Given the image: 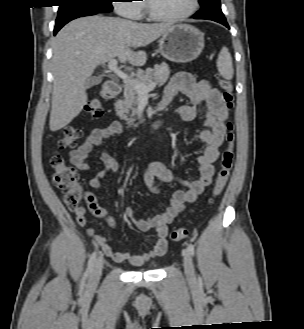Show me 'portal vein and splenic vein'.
Listing matches in <instances>:
<instances>
[{
	"instance_id": "obj_1",
	"label": "portal vein and splenic vein",
	"mask_w": 304,
	"mask_h": 329,
	"mask_svg": "<svg viewBox=\"0 0 304 329\" xmlns=\"http://www.w3.org/2000/svg\"><path fill=\"white\" fill-rule=\"evenodd\" d=\"M108 69L113 72L117 77L122 79L124 83H129L133 85L139 96H146L157 85L156 82H152L149 85H143L142 83L137 82L136 79L131 78L124 71L119 69L118 61L116 59H112L108 62Z\"/></svg>"
}]
</instances>
